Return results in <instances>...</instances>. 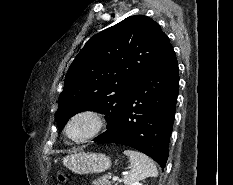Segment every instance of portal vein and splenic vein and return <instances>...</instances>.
Segmentation results:
<instances>
[{"mask_svg": "<svg viewBox=\"0 0 233 185\" xmlns=\"http://www.w3.org/2000/svg\"><path fill=\"white\" fill-rule=\"evenodd\" d=\"M112 180H113V181H117V180H118V177H117V176H113V177H112Z\"/></svg>", "mask_w": 233, "mask_h": 185, "instance_id": "obj_1", "label": "portal vein and splenic vein"}]
</instances>
